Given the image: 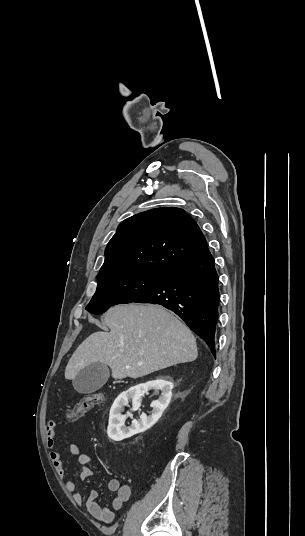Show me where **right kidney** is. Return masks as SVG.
I'll return each instance as SVG.
<instances>
[{"mask_svg": "<svg viewBox=\"0 0 305 536\" xmlns=\"http://www.w3.org/2000/svg\"><path fill=\"white\" fill-rule=\"evenodd\" d=\"M148 390H154L155 394H158L161 390L162 394L159 396L158 400H154L151 404L152 414L151 416H140V422H132L129 428H125L124 422L126 416H122V406H128L129 398H133V410H138L140 406V398L148 392ZM173 384L169 382L168 378L164 376H159L156 380H151V382H146V384H138V386H133L129 388L125 394H120L117 400H115L111 410L109 418V426L107 434L111 440L115 442H121L125 438H131L134 434H139V432H145L151 426L156 424L157 420L161 418L164 410H166L172 396Z\"/></svg>", "mask_w": 305, "mask_h": 536, "instance_id": "1", "label": "right kidney"}]
</instances>
